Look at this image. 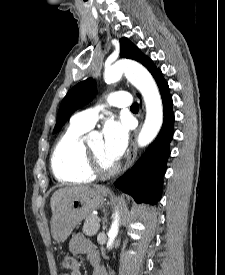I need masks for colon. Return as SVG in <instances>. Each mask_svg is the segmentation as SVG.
<instances>
[{"instance_id": "5ec220e1", "label": "colon", "mask_w": 225, "mask_h": 275, "mask_svg": "<svg viewBox=\"0 0 225 275\" xmlns=\"http://www.w3.org/2000/svg\"><path fill=\"white\" fill-rule=\"evenodd\" d=\"M62 266L65 270L73 272L77 271L78 269V263L75 257L73 256H65L62 261Z\"/></svg>"}]
</instances>
